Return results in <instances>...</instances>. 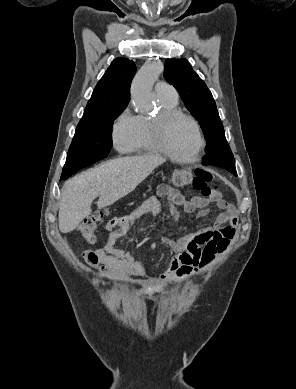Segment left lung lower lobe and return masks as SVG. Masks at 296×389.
I'll use <instances>...</instances> for the list:
<instances>
[{
  "mask_svg": "<svg viewBox=\"0 0 296 389\" xmlns=\"http://www.w3.org/2000/svg\"><path fill=\"white\" fill-rule=\"evenodd\" d=\"M206 161L207 165H215L221 168H225L237 176L234 157L226 141V138L212 148V151L207 154Z\"/></svg>",
  "mask_w": 296,
  "mask_h": 389,
  "instance_id": "1",
  "label": "left lung lower lobe"
}]
</instances>
